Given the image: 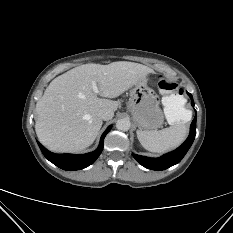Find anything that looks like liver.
I'll use <instances>...</instances> for the list:
<instances>
[{"mask_svg":"<svg viewBox=\"0 0 233 233\" xmlns=\"http://www.w3.org/2000/svg\"><path fill=\"white\" fill-rule=\"evenodd\" d=\"M150 73L153 70L145 65L118 61L108 65L84 64L56 77L36 104L38 139L53 152L86 149L101 129L99 111H116L118 102L111 99ZM92 82L99 87L97 94Z\"/></svg>","mask_w":233,"mask_h":233,"instance_id":"1","label":"liver"}]
</instances>
